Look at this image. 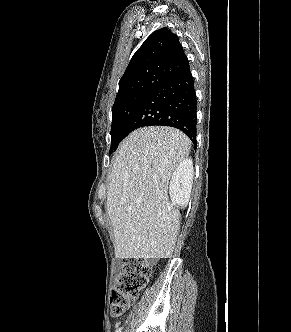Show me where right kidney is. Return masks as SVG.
Here are the masks:
<instances>
[{"instance_id": "ca27d5eb", "label": "right kidney", "mask_w": 291, "mask_h": 332, "mask_svg": "<svg viewBox=\"0 0 291 332\" xmlns=\"http://www.w3.org/2000/svg\"><path fill=\"white\" fill-rule=\"evenodd\" d=\"M194 170L193 162L191 159L183 160L174 171L169 191L173 204L180 206H186L188 204L192 182H193Z\"/></svg>"}]
</instances>
